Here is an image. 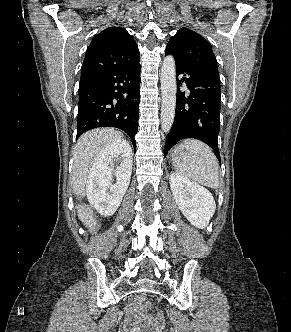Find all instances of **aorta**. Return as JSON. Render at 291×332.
<instances>
[{"instance_id": "obj_1", "label": "aorta", "mask_w": 291, "mask_h": 332, "mask_svg": "<svg viewBox=\"0 0 291 332\" xmlns=\"http://www.w3.org/2000/svg\"><path fill=\"white\" fill-rule=\"evenodd\" d=\"M176 67L172 55L164 58L161 68V128L168 133L173 125L176 108Z\"/></svg>"}]
</instances>
